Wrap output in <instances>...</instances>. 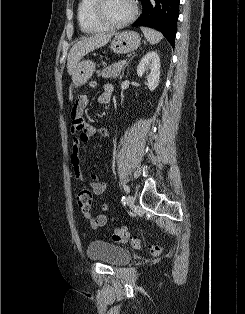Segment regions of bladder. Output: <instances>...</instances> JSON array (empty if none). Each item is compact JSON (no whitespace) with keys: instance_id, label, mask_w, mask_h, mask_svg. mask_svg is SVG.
<instances>
[{"instance_id":"bladder-1","label":"bladder","mask_w":245,"mask_h":314,"mask_svg":"<svg viewBox=\"0 0 245 314\" xmlns=\"http://www.w3.org/2000/svg\"><path fill=\"white\" fill-rule=\"evenodd\" d=\"M87 255L90 260L119 267L132 259V253L125 247L96 240L89 244Z\"/></svg>"}]
</instances>
